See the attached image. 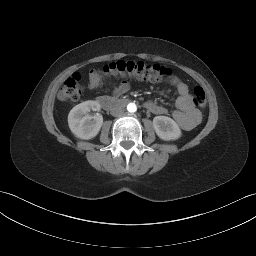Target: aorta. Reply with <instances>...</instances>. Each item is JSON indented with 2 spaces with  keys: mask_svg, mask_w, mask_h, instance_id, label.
I'll return each mask as SVG.
<instances>
[{
  "mask_svg": "<svg viewBox=\"0 0 256 256\" xmlns=\"http://www.w3.org/2000/svg\"><path fill=\"white\" fill-rule=\"evenodd\" d=\"M127 111L130 112V113H134L137 111V106L135 103H129L127 105Z\"/></svg>",
  "mask_w": 256,
  "mask_h": 256,
  "instance_id": "aorta-1",
  "label": "aorta"
}]
</instances>
